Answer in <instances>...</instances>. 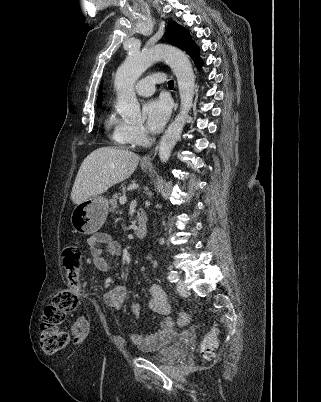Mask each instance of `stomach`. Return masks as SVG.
<instances>
[{"mask_svg": "<svg viewBox=\"0 0 321 402\" xmlns=\"http://www.w3.org/2000/svg\"><path fill=\"white\" fill-rule=\"evenodd\" d=\"M108 208L107 198L99 195L77 204L70 220L74 231L86 235L97 232L106 221Z\"/></svg>", "mask_w": 321, "mask_h": 402, "instance_id": "0dacf381", "label": "stomach"}]
</instances>
